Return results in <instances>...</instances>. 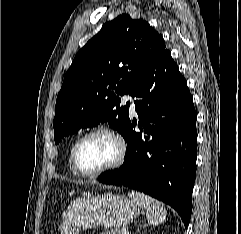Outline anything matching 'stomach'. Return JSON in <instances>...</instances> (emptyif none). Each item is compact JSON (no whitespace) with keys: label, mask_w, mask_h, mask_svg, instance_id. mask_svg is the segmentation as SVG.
Listing matches in <instances>:
<instances>
[{"label":"stomach","mask_w":241,"mask_h":234,"mask_svg":"<svg viewBox=\"0 0 241 234\" xmlns=\"http://www.w3.org/2000/svg\"><path fill=\"white\" fill-rule=\"evenodd\" d=\"M137 211V206L121 195H85L70 204L61 234H78L81 230L98 226L118 229L132 222Z\"/></svg>","instance_id":"stomach-1"}]
</instances>
